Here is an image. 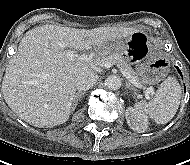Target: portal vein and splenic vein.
I'll use <instances>...</instances> for the list:
<instances>
[{
  "mask_svg": "<svg viewBox=\"0 0 190 165\" xmlns=\"http://www.w3.org/2000/svg\"><path fill=\"white\" fill-rule=\"evenodd\" d=\"M68 59L70 60H73L75 57H78L80 60H83L89 64H91L92 66H94V64H97V65H100L104 68H110L112 65H114L113 63L111 62H107V63H100V62H95L93 60L92 57L86 55V54H82V55H77L76 52L74 50H68L67 53H66ZM121 73L136 87L138 88H141V84L132 76L130 75L128 72L120 69ZM149 93H152L153 92V88H149L148 89Z\"/></svg>",
  "mask_w": 190,
  "mask_h": 165,
  "instance_id": "obj_1",
  "label": "portal vein and splenic vein"
}]
</instances>
